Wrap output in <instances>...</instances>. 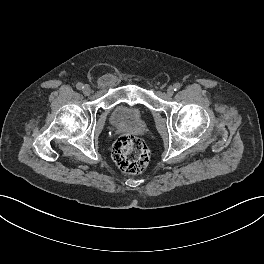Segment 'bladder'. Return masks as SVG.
Here are the masks:
<instances>
[{"label":"bladder","instance_id":"31cf9c89","mask_svg":"<svg viewBox=\"0 0 264 264\" xmlns=\"http://www.w3.org/2000/svg\"><path fill=\"white\" fill-rule=\"evenodd\" d=\"M143 117V110L137 105L118 104L109 116L113 126H131L137 124Z\"/></svg>","mask_w":264,"mask_h":264}]
</instances>
